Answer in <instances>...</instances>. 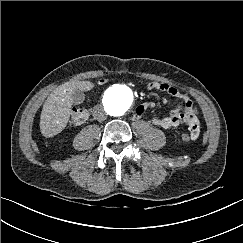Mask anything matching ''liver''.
Returning a JSON list of instances; mask_svg holds the SVG:
<instances>
[{
	"mask_svg": "<svg viewBox=\"0 0 243 243\" xmlns=\"http://www.w3.org/2000/svg\"><path fill=\"white\" fill-rule=\"evenodd\" d=\"M83 87L82 82H67L48 96L40 116V130L43 136H55L66 127L73 104V93L81 91Z\"/></svg>",
	"mask_w": 243,
	"mask_h": 243,
	"instance_id": "liver-1",
	"label": "liver"
}]
</instances>
